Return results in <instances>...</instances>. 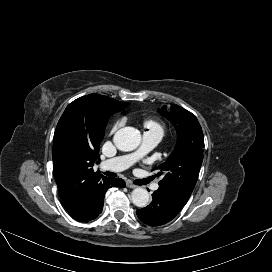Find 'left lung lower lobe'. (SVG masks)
<instances>
[{
  "label": "left lung lower lobe",
  "instance_id": "1",
  "mask_svg": "<svg viewBox=\"0 0 272 272\" xmlns=\"http://www.w3.org/2000/svg\"><path fill=\"white\" fill-rule=\"evenodd\" d=\"M152 198V203L149 206L136 211L138 218L150 226L168 223L185 206L160 189L153 193Z\"/></svg>",
  "mask_w": 272,
  "mask_h": 272
}]
</instances>
